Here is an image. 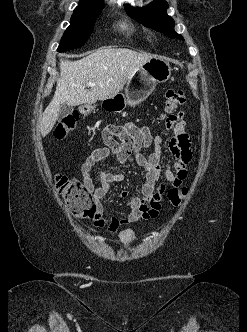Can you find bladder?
Here are the masks:
<instances>
[{"label":"bladder","instance_id":"1","mask_svg":"<svg viewBox=\"0 0 247 332\" xmlns=\"http://www.w3.org/2000/svg\"><path fill=\"white\" fill-rule=\"evenodd\" d=\"M131 239H132V237H128V238H127V240H131Z\"/></svg>","mask_w":247,"mask_h":332}]
</instances>
